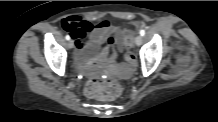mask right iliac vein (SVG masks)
Returning <instances> with one entry per match:
<instances>
[{
	"instance_id": "obj_1",
	"label": "right iliac vein",
	"mask_w": 218,
	"mask_h": 122,
	"mask_svg": "<svg viewBox=\"0 0 218 122\" xmlns=\"http://www.w3.org/2000/svg\"><path fill=\"white\" fill-rule=\"evenodd\" d=\"M67 47H68L69 49H72V48L74 47V42H73V40H69V42H68V44H67Z\"/></svg>"
}]
</instances>
